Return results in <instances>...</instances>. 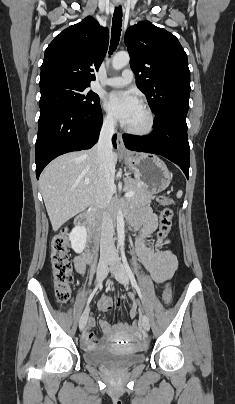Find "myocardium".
I'll return each instance as SVG.
<instances>
[{
  "instance_id": "f54148a6",
  "label": "myocardium",
  "mask_w": 235,
  "mask_h": 404,
  "mask_svg": "<svg viewBox=\"0 0 235 404\" xmlns=\"http://www.w3.org/2000/svg\"><path fill=\"white\" fill-rule=\"evenodd\" d=\"M140 107L143 109L145 113L144 125L142 127H130L124 125V130L131 135L143 137L153 132L155 127V115L147 104L140 103Z\"/></svg>"
}]
</instances>
